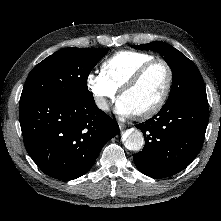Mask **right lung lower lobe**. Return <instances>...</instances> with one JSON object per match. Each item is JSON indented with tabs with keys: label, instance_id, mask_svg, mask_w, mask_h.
<instances>
[{
	"label": "right lung lower lobe",
	"instance_id": "98d812e1",
	"mask_svg": "<svg viewBox=\"0 0 221 221\" xmlns=\"http://www.w3.org/2000/svg\"><path fill=\"white\" fill-rule=\"evenodd\" d=\"M19 120L28 154L45 174L59 180L85 174L104 144L119 133L93 97L21 100Z\"/></svg>",
	"mask_w": 221,
	"mask_h": 221
}]
</instances>
